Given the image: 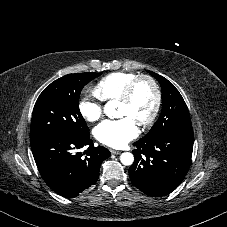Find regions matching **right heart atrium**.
Here are the masks:
<instances>
[{
	"label": "right heart atrium",
	"instance_id": "1",
	"mask_svg": "<svg viewBox=\"0 0 227 227\" xmlns=\"http://www.w3.org/2000/svg\"><path fill=\"white\" fill-rule=\"evenodd\" d=\"M78 109L81 116L89 122L97 121L103 113L101 99L92 93L85 94L80 98Z\"/></svg>",
	"mask_w": 227,
	"mask_h": 227
}]
</instances>
